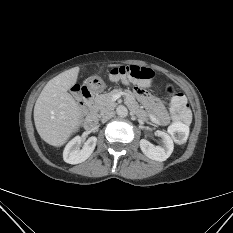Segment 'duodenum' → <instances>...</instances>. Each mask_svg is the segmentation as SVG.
<instances>
[{
    "label": "duodenum",
    "mask_w": 233,
    "mask_h": 233,
    "mask_svg": "<svg viewBox=\"0 0 233 233\" xmlns=\"http://www.w3.org/2000/svg\"><path fill=\"white\" fill-rule=\"evenodd\" d=\"M81 96L86 99V104L90 108V112L85 120V125L88 128H92L93 126H95L98 120V114L94 105V92L91 88L84 86L82 88Z\"/></svg>",
    "instance_id": "duodenum-1"
}]
</instances>
